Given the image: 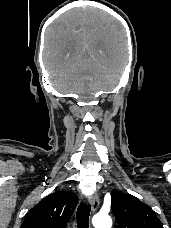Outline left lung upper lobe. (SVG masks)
I'll return each instance as SVG.
<instances>
[{"instance_id":"1","label":"left lung upper lobe","mask_w":171,"mask_h":228,"mask_svg":"<svg viewBox=\"0 0 171 228\" xmlns=\"http://www.w3.org/2000/svg\"><path fill=\"white\" fill-rule=\"evenodd\" d=\"M112 211L119 228H163L155 212L138 198L113 190Z\"/></svg>"}]
</instances>
